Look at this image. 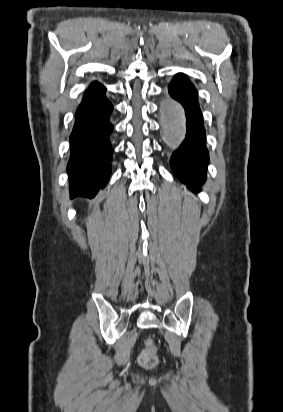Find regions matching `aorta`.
<instances>
[{"label": "aorta", "instance_id": "obj_1", "mask_svg": "<svg viewBox=\"0 0 283 412\" xmlns=\"http://www.w3.org/2000/svg\"><path fill=\"white\" fill-rule=\"evenodd\" d=\"M171 112L173 116V133L179 138L183 133L184 111L180 105L174 104L171 107Z\"/></svg>", "mask_w": 283, "mask_h": 412}]
</instances>
